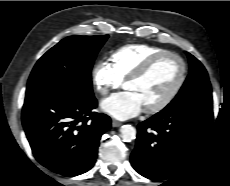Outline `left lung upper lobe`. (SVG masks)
<instances>
[{"instance_id":"obj_1","label":"left lung upper lobe","mask_w":230,"mask_h":186,"mask_svg":"<svg viewBox=\"0 0 230 186\" xmlns=\"http://www.w3.org/2000/svg\"><path fill=\"white\" fill-rule=\"evenodd\" d=\"M189 58V75L176 97L164 109L172 110L182 105L212 99L211 84L204 66L190 53L186 52Z\"/></svg>"}]
</instances>
